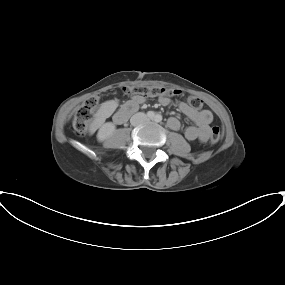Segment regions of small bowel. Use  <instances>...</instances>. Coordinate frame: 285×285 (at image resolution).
Masks as SVG:
<instances>
[{
    "mask_svg": "<svg viewBox=\"0 0 285 285\" xmlns=\"http://www.w3.org/2000/svg\"><path fill=\"white\" fill-rule=\"evenodd\" d=\"M145 97L140 95L133 96L127 103H133L137 107L144 103ZM160 103L162 105H168L170 100L167 97L160 98ZM179 110L191 119L195 126H188L184 130V136L189 141L199 140L202 142H206L209 139V131H210V124L213 121V114L210 110H195L187 103L179 102L178 103ZM170 129L177 131L180 129V121L175 118L171 117L168 119L167 122Z\"/></svg>",
    "mask_w": 285,
    "mask_h": 285,
    "instance_id": "1",
    "label": "small bowel"
}]
</instances>
